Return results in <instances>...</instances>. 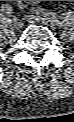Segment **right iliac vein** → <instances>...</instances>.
<instances>
[{
	"label": "right iliac vein",
	"mask_w": 74,
	"mask_h": 122,
	"mask_svg": "<svg viewBox=\"0 0 74 122\" xmlns=\"http://www.w3.org/2000/svg\"><path fill=\"white\" fill-rule=\"evenodd\" d=\"M13 26L15 29L20 30L22 27V22L18 18L13 19Z\"/></svg>",
	"instance_id": "obj_1"
}]
</instances>
